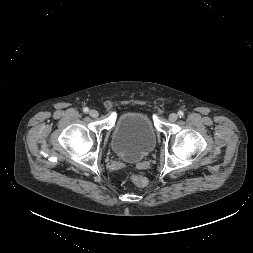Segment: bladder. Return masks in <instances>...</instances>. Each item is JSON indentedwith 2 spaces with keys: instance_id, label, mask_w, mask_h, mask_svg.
Here are the masks:
<instances>
[{
  "instance_id": "31cf9c89",
  "label": "bladder",
  "mask_w": 253,
  "mask_h": 253,
  "mask_svg": "<svg viewBox=\"0 0 253 253\" xmlns=\"http://www.w3.org/2000/svg\"><path fill=\"white\" fill-rule=\"evenodd\" d=\"M156 129L150 116L141 111L121 114L113 128L111 147L127 162H138L156 145Z\"/></svg>"
}]
</instances>
